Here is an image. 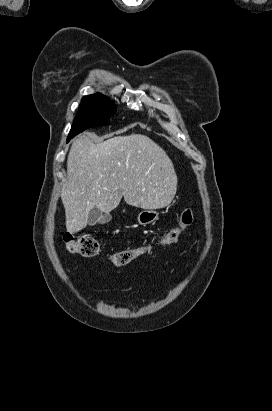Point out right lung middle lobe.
I'll use <instances>...</instances> for the list:
<instances>
[{
  "instance_id": "right-lung-middle-lobe-1",
  "label": "right lung middle lobe",
  "mask_w": 272,
  "mask_h": 411,
  "mask_svg": "<svg viewBox=\"0 0 272 411\" xmlns=\"http://www.w3.org/2000/svg\"><path fill=\"white\" fill-rule=\"evenodd\" d=\"M116 111L115 104L101 94L84 96L68 140L87 128L106 124Z\"/></svg>"
}]
</instances>
